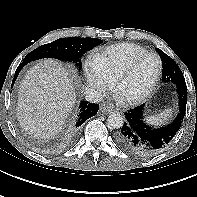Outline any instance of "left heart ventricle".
<instances>
[{"label": "left heart ventricle", "instance_id": "obj_1", "mask_svg": "<svg viewBox=\"0 0 197 197\" xmlns=\"http://www.w3.org/2000/svg\"><path fill=\"white\" fill-rule=\"evenodd\" d=\"M158 70L156 58L152 56L141 59L130 75L120 84L117 95L131 98L144 93L152 83Z\"/></svg>", "mask_w": 197, "mask_h": 197}]
</instances>
